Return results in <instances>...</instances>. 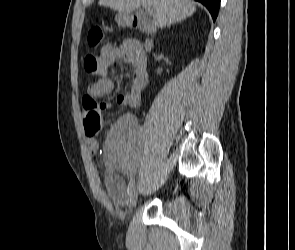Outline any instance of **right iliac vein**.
<instances>
[{"instance_id":"obj_1","label":"right iliac vein","mask_w":295,"mask_h":250,"mask_svg":"<svg viewBox=\"0 0 295 250\" xmlns=\"http://www.w3.org/2000/svg\"><path fill=\"white\" fill-rule=\"evenodd\" d=\"M137 198H138V193L137 191L134 189L128 196L127 198V206H128V211L130 212L131 209L134 207V205L137 202Z\"/></svg>"}]
</instances>
